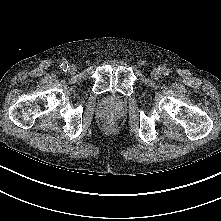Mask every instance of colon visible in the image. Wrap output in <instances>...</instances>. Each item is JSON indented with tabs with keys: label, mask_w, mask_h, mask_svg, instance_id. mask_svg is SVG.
I'll use <instances>...</instances> for the list:
<instances>
[{
	"label": "colon",
	"mask_w": 221,
	"mask_h": 221,
	"mask_svg": "<svg viewBox=\"0 0 221 221\" xmlns=\"http://www.w3.org/2000/svg\"><path fill=\"white\" fill-rule=\"evenodd\" d=\"M114 126V123L113 122H108L107 123V127L109 128V129H111L112 127Z\"/></svg>",
	"instance_id": "5ec220e1"
}]
</instances>
